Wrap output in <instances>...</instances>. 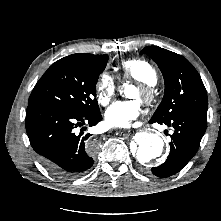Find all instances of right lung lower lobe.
<instances>
[{
	"label": "right lung lower lobe",
	"mask_w": 221,
	"mask_h": 221,
	"mask_svg": "<svg viewBox=\"0 0 221 221\" xmlns=\"http://www.w3.org/2000/svg\"><path fill=\"white\" fill-rule=\"evenodd\" d=\"M101 113L81 116L58 107L29 103L26 130L41 164L53 175L73 178L83 174L94 163V143L91 134L77 133L83 125L95 126Z\"/></svg>",
	"instance_id": "right-lung-lower-lobe-1"
}]
</instances>
